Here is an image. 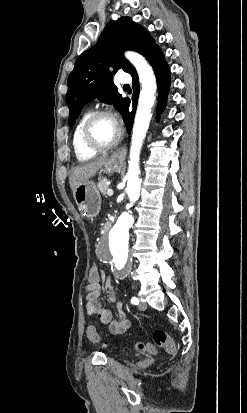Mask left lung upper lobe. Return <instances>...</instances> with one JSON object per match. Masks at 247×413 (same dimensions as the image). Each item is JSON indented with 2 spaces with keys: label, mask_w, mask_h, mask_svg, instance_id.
<instances>
[{
  "label": "left lung upper lobe",
  "mask_w": 247,
  "mask_h": 413,
  "mask_svg": "<svg viewBox=\"0 0 247 413\" xmlns=\"http://www.w3.org/2000/svg\"><path fill=\"white\" fill-rule=\"evenodd\" d=\"M124 50H135L147 60L160 50L154 39L130 17L110 21L96 45L83 52L76 60L68 77L66 103L69 107V125L73 127L84 105L95 98L113 106L124 116L129 99L122 98L113 83V74L123 69L131 74L135 68L122 55ZM109 66H115L111 73Z\"/></svg>",
  "instance_id": "obj_1"
}]
</instances>
